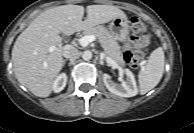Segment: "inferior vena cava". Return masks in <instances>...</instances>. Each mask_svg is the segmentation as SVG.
Instances as JSON below:
<instances>
[{
    "label": "inferior vena cava",
    "instance_id": "obj_1",
    "mask_svg": "<svg viewBox=\"0 0 194 133\" xmlns=\"http://www.w3.org/2000/svg\"><path fill=\"white\" fill-rule=\"evenodd\" d=\"M63 56L67 59H77L80 56V52L71 45L64 46Z\"/></svg>",
    "mask_w": 194,
    "mask_h": 133
}]
</instances>
